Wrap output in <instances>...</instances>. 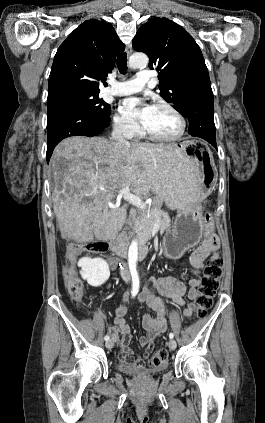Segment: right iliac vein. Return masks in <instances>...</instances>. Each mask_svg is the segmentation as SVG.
<instances>
[{
	"instance_id": "63e3f726",
	"label": "right iliac vein",
	"mask_w": 265,
	"mask_h": 423,
	"mask_svg": "<svg viewBox=\"0 0 265 423\" xmlns=\"http://www.w3.org/2000/svg\"><path fill=\"white\" fill-rule=\"evenodd\" d=\"M114 342H115V340H114L113 338H112V339L107 340V341H106V343H105L106 348H108V349L113 348V346H114Z\"/></svg>"
}]
</instances>
